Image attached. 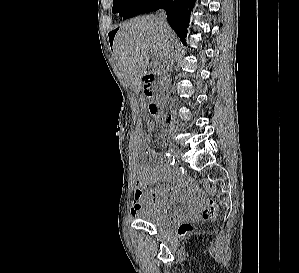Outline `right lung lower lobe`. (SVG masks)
I'll list each match as a JSON object with an SVG mask.
<instances>
[{"mask_svg": "<svg viewBox=\"0 0 299 273\" xmlns=\"http://www.w3.org/2000/svg\"><path fill=\"white\" fill-rule=\"evenodd\" d=\"M195 0H137L123 15V19L141 13L165 9L169 25L179 36L181 42L186 43L187 27L190 13Z\"/></svg>", "mask_w": 299, "mask_h": 273, "instance_id": "obj_1", "label": "right lung lower lobe"}]
</instances>
